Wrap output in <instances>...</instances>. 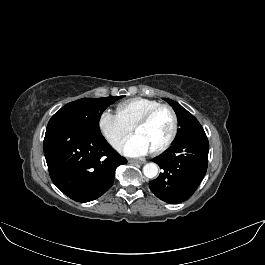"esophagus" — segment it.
<instances>
[{
    "label": "esophagus",
    "mask_w": 265,
    "mask_h": 265,
    "mask_svg": "<svg viewBox=\"0 0 265 265\" xmlns=\"http://www.w3.org/2000/svg\"><path fill=\"white\" fill-rule=\"evenodd\" d=\"M130 164H143L144 162L141 160H135V159H130L128 161Z\"/></svg>",
    "instance_id": "1"
}]
</instances>
